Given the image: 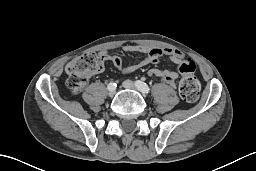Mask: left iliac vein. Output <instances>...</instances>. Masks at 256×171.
<instances>
[{
    "mask_svg": "<svg viewBox=\"0 0 256 171\" xmlns=\"http://www.w3.org/2000/svg\"><path fill=\"white\" fill-rule=\"evenodd\" d=\"M122 86L126 89H131V90H138L140 92H142L141 90H139L136 85L134 84V82H132L131 80H125L122 83Z\"/></svg>",
    "mask_w": 256,
    "mask_h": 171,
    "instance_id": "obj_1",
    "label": "left iliac vein"
}]
</instances>
